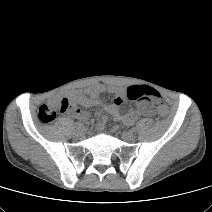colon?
Listing matches in <instances>:
<instances>
[{
    "label": "colon",
    "mask_w": 212,
    "mask_h": 212,
    "mask_svg": "<svg viewBox=\"0 0 212 212\" xmlns=\"http://www.w3.org/2000/svg\"><path fill=\"white\" fill-rule=\"evenodd\" d=\"M126 97L130 100L143 99L153 103L158 113L163 117H166L169 113L160 93L152 87L145 85L130 86L126 89ZM69 108L70 105L67 99H54L40 106L37 116L41 123L49 124L59 112H65Z\"/></svg>",
    "instance_id": "colon-1"
}]
</instances>
